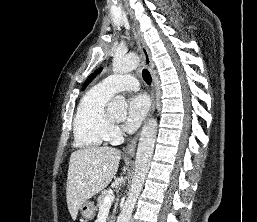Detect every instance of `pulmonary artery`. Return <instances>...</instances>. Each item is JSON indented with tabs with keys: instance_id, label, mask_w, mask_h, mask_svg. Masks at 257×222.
<instances>
[{
	"instance_id": "obj_1",
	"label": "pulmonary artery",
	"mask_w": 257,
	"mask_h": 222,
	"mask_svg": "<svg viewBox=\"0 0 257 222\" xmlns=\"http://www.w3.org/2000/svg\"><path fill=\"white\" fill-rule=\"evenodd\" d=\"M98 86L111 95L119 91L139 89L138 80L132 75H112L103 79Z\"/></svg>"
}]
</instances>
